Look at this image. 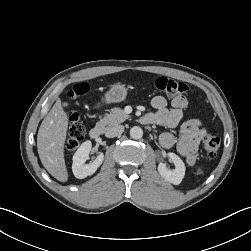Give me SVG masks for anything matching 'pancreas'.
Returning a JSON list of instances; mask_svg holds the SVG:
<instances>
[{
	"label": "pancreas",
	"instance_id": "pancreas-1",
	"mask_svg": "<svg viewBox=\"0 0 251 251\" xmlns=\"http://www.w3.org/2000/svg\"><path fill=\"white\" fill-rule=\"evenodd\" d=\"M127 118H129V115L123 109L113 108L109 114L98 122V126L106 130L124 122Z\"/></svg>",
	"mask_w": 251,
	"mask_h": 251
}]
</instances>
